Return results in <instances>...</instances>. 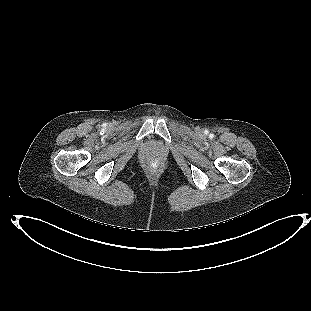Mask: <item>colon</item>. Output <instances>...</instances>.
Masks as SVG:
<instances>
[{
	"label": "colon",
	"mask_w": 311,
	"mask_h": 311,
	"mask_svg": "<svg viewBox=\"0 0 311 311\" xmlns=\"http://www.w3.org/2000/svg\"><path fill=\"white\" fill-rule=\"evenodd\" d=\"M160 166V161L159 160H157V159H152L151 161H150V168L151 169H156V168H158Z\"/></svg>",
	"instance_id": "obj_1"
}]
</instances>
